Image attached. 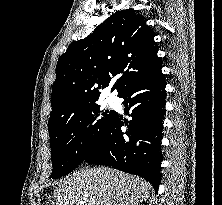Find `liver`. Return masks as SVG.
Listing matches in <instances>:
<instances>
[{
	"label": "liver",
	"mask_w": 222,
	"mask_h": 205,
	"mask_svg": "<svg viewBox=\"0 0 222 205\" xmlns=\"http://www.w3.org/2000/svg\"><path fill=\"white\" fill-rule=\"evenodd\" d=\"M151 185L110 168L74 172L54 190L56 205H138L149 197Z\"/></svg>",
	"instance_id": "6515ba94"
}]
</instances>
